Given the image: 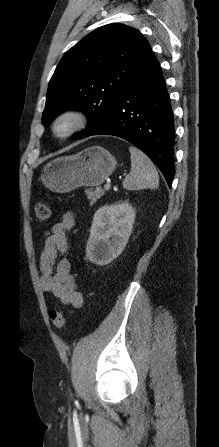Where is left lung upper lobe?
<instances>
[{
    "label": "left lung upper lobe",
    "instance_id": "left-lung-upper-lobe-1",
    "mask_svg": "<svg viewBox=\"0 0 219 447\" xmlns=\"http://www.w3.org/2000/svg\"><path fill=\"white\" fill-rule=\"evenodd\" d=\"M148 41L134 28L109 24L88 34L59 62L46 96L42 123L67 110L83 111L89 134L106 116L143 56Z\"/></svg>",
    "mask_w": 219,
    "mask_h": 447
}]
</instances>
